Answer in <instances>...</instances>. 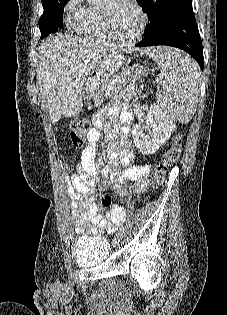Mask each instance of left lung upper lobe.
Segmentation results:
<instances>
[{
  "label": "left lung upper lobe",
  "instance_id": "left-lung-upper-lobe-1",
  "mask_svg": "<svg viewBox=\"0 0 227 315\" xmlns=\"http://www.w3.org/2000/svg\"><path fill=\"white\" fill-rule=\"evenodd\" d=\"M137 2L147 13L149 26L176 11L192 8L191 0H137Z\"/></svg>",
  "mask_w": 227,
  "mask_h": 315
}]
</instances>
